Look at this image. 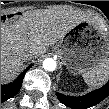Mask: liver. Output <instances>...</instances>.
<instances>
[{
    "label": "liver",
    "instance_id": "obj_1",
    "mask_svg": "<svg viewBox=\"0 0 109 109\" xmlns=\"http://www.w3.org/2000/svg\"><path fill=\"white\" fill-rule=\"evenodd\" d=\"M82 21L94 23L82 12L38 9L24 12L13 24L2 25V82L13 80L20 72L24 52H31L33 58L41 56L49 46L61 41L68 31Z\"/></svg>",
    "mask_w": 109,
    "mask_h": 109
}]
</instances>
